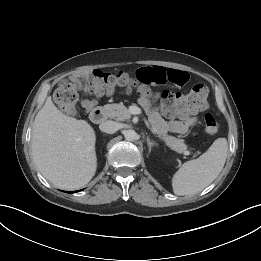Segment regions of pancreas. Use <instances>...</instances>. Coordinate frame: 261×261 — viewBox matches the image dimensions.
I'll list each match as a JSON object with an SVG mask.
<instances>
[{"instance_id": "cf45deb5", "label": "pancreas", "mask_w": 261, "mask_h": 261, "mask_svg": "<svg viewBox=\"0 0 261 261\" xmlns=\"http://www.w3.org/2000/svg\"><path fill=\"white\" fill-rule=\"evenodd\" d=\"M108 117L117 121H125L131 118V114L123 103L107 104L104 106ZM152 127L156 130L158 136L166 143L168 147L178 153L187 152L188 146L184 143L183 139H178L167 134L166 130L159 127V125L152 120Z\"/></svg>"}]
</instances>
